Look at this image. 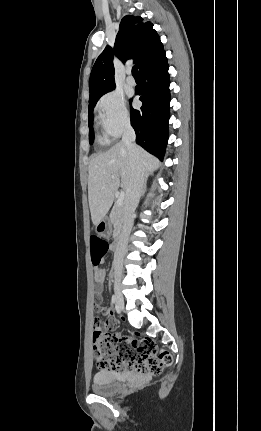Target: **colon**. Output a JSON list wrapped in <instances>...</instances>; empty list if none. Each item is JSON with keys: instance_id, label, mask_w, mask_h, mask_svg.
Instances as JSON below:
<instances>
[{"instance_id": "5ec220e1", "label": "colon", "mask_w": 261, "mask_h": 431, "mask_svg": "<svg viewBox=\"0 0 261 431\" xmlns=\"http://www.w3.org/2000/svg\"><path fill=\"white\" fill-rule=\"evenodd\" d=\"M90 248L92 264L99 266L109 251V243L98 236H91ZM100 324L101 320L95 318V325ZM93 341L97 364L101 368L130 370L141 376H154L173 363L170 352L158 351L150 339L137 335L120 336L97 329Z\"/></svg>"}]
</instances>
